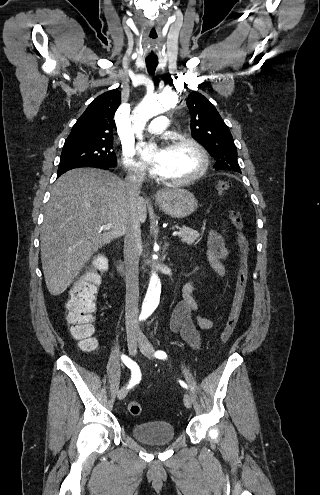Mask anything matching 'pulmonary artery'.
<instances>
[{
	"label": "pulmonary artery",
	"instance_id": "1",
	"mask_svg": "<svg viewBox=\"0 0 320 495\" xmlns=\"http://www.w3.org/2000/svg\"><path fill=\"white\" fill-rule=\"evenodd\" d=\"M168 124V117L161 115L151 121V123L146 128V131L151 134H160L166 130Z\"/></svg>",
	"mask_w": 320,
	"mask_h": 495
}]
</instances>
